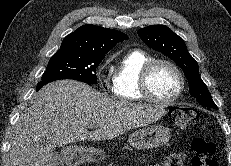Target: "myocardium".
<instances>
[{"label": "myocardium", "mask_w": 231, "mask_h": 166, "mask_svg": "<svg viewBox=\"0 0 231 166\" xmlns=\"http://www.w3.org/2000/svg\"><path fill=\"white\" fill-rule=\"evenodd\" d=\"M159 64H164V65L169 66L178 77V81H179L178 89L174 93V95H172L168 99H159L155 97L152 94L150 87H149V78H150L151 72ZM184 89H185L184 74L182 70L179 68V66L171 60H168L165 58L152 59L149 62H147L141 69L140 77H139V91L142 97L149 102H152L158 105H163V106L170 105L174 103L182 95Z\"/></svg>", "instance_id": "myocardium-1"}]
</instances>
